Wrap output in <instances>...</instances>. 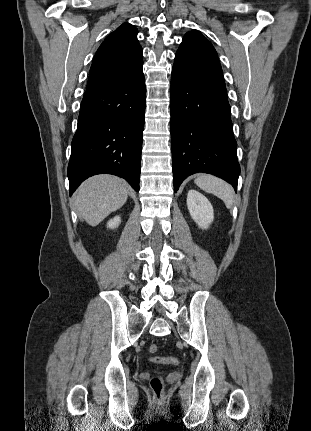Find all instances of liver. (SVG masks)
<instances>
[{
    "label": "liver",
    "mask_w": 311,
    "mask_h": 431,
    "mask_svg": "<svg viewBox=\"0 0 311 431\" xmlns=\"http://www.w3.org/2000/svg\"><path fill=\"white\" fill-rule=\"evenodd\" d=\"M129 188L116 176H93L85 180L75 194V206L89 225H98L104 217L127 202Z\"/></svg>",
    "instance_id": "6515ba94"
}]
</instances>
